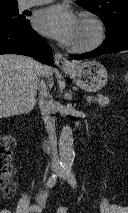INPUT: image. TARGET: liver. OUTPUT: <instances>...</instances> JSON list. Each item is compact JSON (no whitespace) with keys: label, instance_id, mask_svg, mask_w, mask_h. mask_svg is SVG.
<instances>
[{"label":"liver","instance_id":"obj_1","mask_svg":"<svg viewBox=\"0 0 128 213\" xmlns=\"http://www.w3.org/2000/svg\"><path fill=\"white\" fill-rule=\"evenodd\" d=\"M42 65L22 55H0V119L29 113L36 103ZM50 86L53 72L46 74Z\"/></svg>","mask_w":128,"mask_h":213}]
</instances>
